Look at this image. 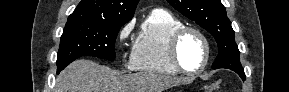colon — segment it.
Listing matches in <instances>:
<instances>
[{
    "mask_svg": "<svg viewBox=\"0 0 289 92\" xmlns=\"http://www.w3.org/2000/svg\"><path fill=\"white\" fill-rule=\"evenodd\" d=\"M220 85H221V83H220L219 81L214 82V83L208 85V86L205 88V91H206V92L218 91L219 88H220Z\"/></svg>",
    "mask_w": 289,
    "mask_h": 92,
    "instance_id": "1",
    "label": "colon"
}]
</instances>
